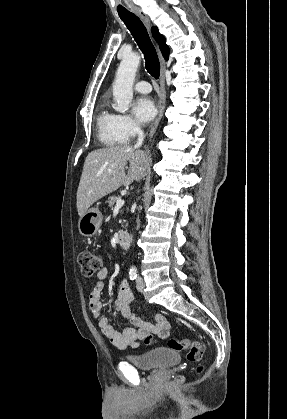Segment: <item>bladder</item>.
Here are the masks:
<instances>
[{
	"label": "bladder",
	"mask_w": 287,
	"mask_h": 419,
	"mask_svg": "<svg viewBox=\"0 0 287 419\" xmlns=\"http://www.w3.org/2000/svg\"><path fill=\"white\" fill-rule=\"evenodd\" d=\"M127 360L140 369L163 370L179 363L180 357L173 350L161 347L141 355L128 356Z\"/></svg>",
	"instance_id": "bladder-1"
}]
</instances>
